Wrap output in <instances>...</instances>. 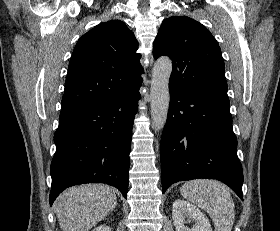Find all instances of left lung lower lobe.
Segmentation results:
<instances>
[{
    "mask_svg": "<svg viewBox=\"0 0 280 231\" xmlns=\"http://www.w3.org/2000/svg\"><path fill=\"white\" fill-rule=\"evenodd\" d=\"M168 118L161 139L163 193L178 181L217 179L242 197L243 172L237 157L229 100L169 87Z\"/></svg>",
    "mask_w": 280,
    "mask_h": 231,
    "instance_id": "1",
    "label": "left lung lower lobe"
}]
</instances>
